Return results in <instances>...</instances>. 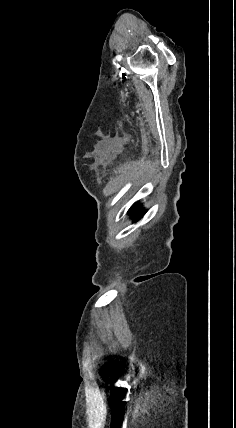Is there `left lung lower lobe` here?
Returning <instances> with one entry per match:
<instances>
[{
    "label": "left lung lower lobe",
    "mask_w": 236,
    "mask_h": 428,
    "mask_svg": "<svg viewBox=\"0 0 236 428\" xmlns=\"http://www.w3.org/2000/svg\"><path fill=\"white\" fill-rule=\"evenodd\" d=\"M141 204L139 203H134L130 209L131 214L136 218L135 221L139 220L140 218H142V216L145 213V210H143V208L140 207Z\"/></svg>",
    "instance_id": "1"
}]
</instances>
